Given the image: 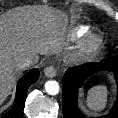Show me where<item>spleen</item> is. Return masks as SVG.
<instances>
[{
  "instance_id": "3e777b00",
  "label": "spleen",
  "mask_w": 118,
  "mask_h": 118,
  "mask_svg": "<svg viewBox=\"0 0 118 118\" xmlns=\"http://www.w3.org/2000/svg\"><path fill=\"white\" fill-rule=\"evenodd\" d=\"M87 107L92 111H100L107 102V88L104 85L94 86L88 91Z\"/></svg>"
}]
</instances>
